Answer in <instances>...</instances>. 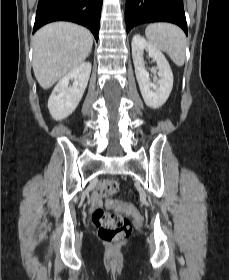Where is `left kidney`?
<instances>
[{
    "instance_id": "left-kidney-1",
    "label": "left kidney",
    "mask_w": 229,
    "mask_h": 280,
    "mask_svg": "<svg viewBox=\"0 0 229 280\" xmlns=\"http://www.w3.org/2000/svg\"><path fill=\"white\" fill-rule=\"evenodd\" d=\"M132 57L135 67L136 79L142 97L150 108H160L168 99L173 87V73L164 54L151 46L141 35H134L132 38ZM144 50L153 58L157 66L152 69L158 77L150 81L149 73L145 69L143 60Z\"/></svg>"
}]
</instances>
